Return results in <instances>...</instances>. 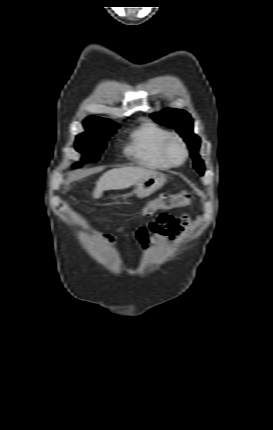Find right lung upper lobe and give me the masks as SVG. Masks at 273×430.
<instances>
[{
  "label": "right lung upper lobe",
  "instance_id": "cb5924a9",
  "mask_svg": "<svg viewBox=\"0 0 273 430\" xmlns=\"http://www.w3.org/2000/svg\"><path fill=\"white\" fill-rule=\"evenodd\" d=\"M85 124L99 125V126H103V127H109V126L117 125L116 123L112 122L111 120L103 119V118L96 117V116H90L89 118H87L85 120Z\"/></svg>",
  "mask_w": 273,
  "mask_h": 430
}]
</instances>
